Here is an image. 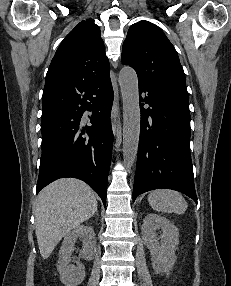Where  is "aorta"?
<instances>
[{
    "label": "aorta",
    "mask_w": 231,
    "mask_h": 286,
    "mask_svg": "<svg viewBox=\"0 0 231 286\" xmlns=\"http://www.w3.org/2000/svg\"><path fill=\"white\" fill-rule=\"evenodd\" d=\"M119 84L123 100V159L125 167L130 169L137 156L141 121L135 70L128 66L123 67L119 72Z\"/></svg>",
    "instance_id": "aorta-1"
}]
</instances>
